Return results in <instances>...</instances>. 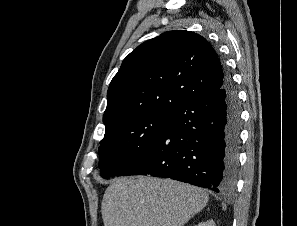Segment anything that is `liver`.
<instances>
[{
	"mask_svg": "<svg viewBox=\"0 0 297 226\" xmlns=\"http://www.w3.org/2000/svg\"><path fill=\"white\" fill-rule=\"evenodd\" d=\"M201 188L156 177L117 178L102 201L104 226H183L208 203Z\"/></svg>",
	"mask_w": 297,
	"mask_h": 226,
	"instance_id": "liver-1",
	"label": "liver"
}]
</instances>
